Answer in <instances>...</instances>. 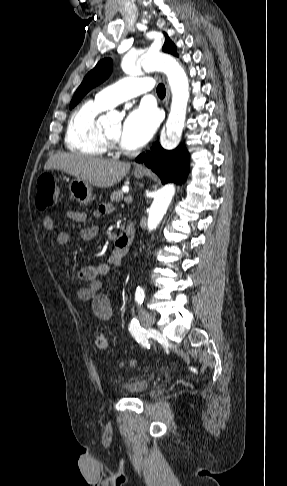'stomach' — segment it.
I'll return each instance as SVG.
<instances>
[{
    "label": "stomach",
    "mask_w": 287,
    "mask_h": 486,
    "mask_svg": "<svg viewBox=\"0 0 287 486\" xmlns=\"http://www.w3.org/2000/svg\"><path fill=\"white\" fill-rule=\"evenodd\" d=\"M134 176L138 179L143 178L144 173L134 172ZM69 191L73 199L78 203L88 204L92 197V185L79 179H74L69 184Z\"/></svg>",
    "instance_id": "obj_1"
}]
</instances>
